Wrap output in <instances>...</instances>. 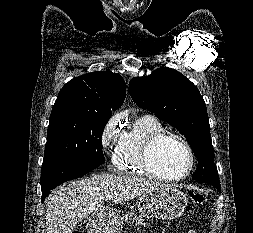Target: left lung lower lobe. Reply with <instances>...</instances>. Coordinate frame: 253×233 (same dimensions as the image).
<instances>
[{
	"label": "left lung lower lobe",
	"mask_w": 253,
	"mask_h": 233,
	"mask_svg": "<svg viewBox=\"0 0 253 233\" xmlns=\"http://www.w3.org/2000/svg\"><path fill=\"white\" fill-rule=\"evenodd\" d=\"M210 185H212L213 187H215L220 192V184H214V185L210 184Z\"/></svg>",
	"instance_id": "left-lung-lower-lobe-1"
}]
</instances>
